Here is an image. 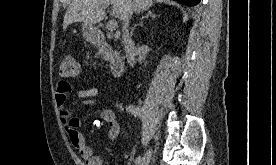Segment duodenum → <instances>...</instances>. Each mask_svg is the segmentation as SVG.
<instances>
[{
	"instance_id": "obj_1",
	"label": "duodenum",
	"mask_w": 276,
	"mask_h": 165,
	"mask_svg": "<svg viewBox=\"0 0 276 165\" xmlns=\"http://www.w3.org/2000/svg\"><path fill=\"white\" fill-rule=\"evenodd\" d=\"M91 42L99 48L109 61L110 72L114 77H120L125 70V61L123 55L111 46L100 32H95L90 35Z\"/></svg>"
}]
</instances>
